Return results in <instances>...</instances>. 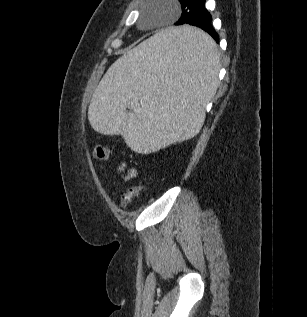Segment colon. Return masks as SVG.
<instances>
[{
    "instance_id": "5ec220e1",
    "label": "colon",
    "mask_w": 307,
    "mask_h": 317,
    "mask_svg": "<svg viewBox=\"0 0 307 317\" xmlns=\"http://www.w3.org/2000/svg\"><path fill=\"white\" fill-rule=\"evenodd\" d=\"M94 158L99 162L107 161L111 157V151L104 146H96L93 150ZM144 190L143 185H136L129 188L121 196V206L126 207L131 201Z\"/></svg>"
}]
</instances>
